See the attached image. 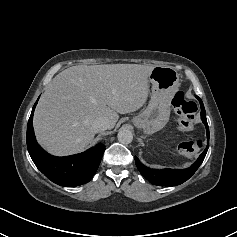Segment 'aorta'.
Listing matches in <instances>:
<instances>
[{
    "instance_id": "aorta-1",
    "label": "aorta",
    "mask_w": 237,
    "mask_h": 237,
    "mask_svg": "<svg viewBox=\"0 0 237 237\" xmlns=\"http://www.w3.org/2000/svg\"><path fill=\"white\" fill-rule=\"evenodd\" d=\"M118 141L122 144H130L133 140V134L128 129H120L117 135Z\"/></svg>"
}]
</instances>
